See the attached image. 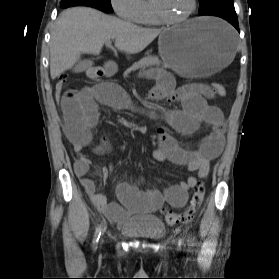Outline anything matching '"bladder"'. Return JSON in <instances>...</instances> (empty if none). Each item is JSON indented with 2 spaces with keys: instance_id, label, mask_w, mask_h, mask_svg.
Masks as SVG:
<instances>
[{
  "instance_id": "obj_1",
  "label": "bladder",
  "mask_w": 279,
  "mask_h": 279,
  "mask_svg": "<svg viewBox=\"0 0 279 279\" xmlns=\"http://www.w3.org/2000/svg\"><path fill=\"white\" fill-rule=\"evenodd\" d=\"M120 230L131 238L147 240L159 239L164 235V223L154 215L132 217L127 215Z\"/></svg>"
}]
</instances>
